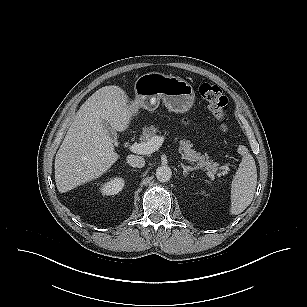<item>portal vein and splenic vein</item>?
I'll list each match as a JSON object with an SVG mask.
<instances>
[{
	"mask_svg": "<svg viewBox=\"0 0 307 307\" xmlns=\"http://www.w3.org/2000/svg\"><path fill=\"white\" fill-rule=\"evenodd\" d=\"M165 138L163 136L154 135L148 142L145 143H134L130 146V150L133 153L148 155L157 151ZM229 167L236 168L233 164H227L223 167L224 170H228Z\"/></svg>",
	"mask_w": 307,
	"mask_h": 307,
	"instance_id": "18ae733b",
	"label": "portal vein and splenic vein"
}]
</instances>
